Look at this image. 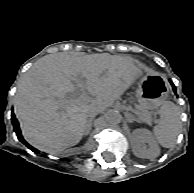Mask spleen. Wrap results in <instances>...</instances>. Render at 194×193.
<instances>
[{
	"label": "spleen",
	"mask_w": 194,
	"mask_h": 193,
	"mask_svg": "<svg viewBox=\"0 0 194 193\" xmlns=\"http://www.w3.org/2000/svg\"><path fill=\"white\" fill-rule=\"evenodd\" d=\"M160 119L154 127V135L161 146L172 147L181 130L180 109L170 101L163 102L159 110Z\"/></svg>",
	"instance_id": "obj_1"
}]
</instances>
